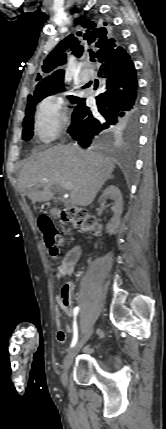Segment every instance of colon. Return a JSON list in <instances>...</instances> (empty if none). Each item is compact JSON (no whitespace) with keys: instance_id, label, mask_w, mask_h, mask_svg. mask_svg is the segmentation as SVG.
<instances>
[{"instance_id":"obj_1","label":"colon","mask_w":166,"mask_h":429,"mask_svg":"<svg viewBox=\"0 0 166 429\" xmlns=\"http://www.w3.org/2000/svg\"><path fill=\"white\" fill-rule=\"evenodd\" d=\"M64 222L70 223L84 232H96L97 220L87 210L78 207L64 208L60 213ZM40 230L44 236V242L51 256H58L63 243L62 236L55 228L52 220L47 216H41L38 220ZM68 291V285H64Z\"/></svg>"}]
</instances>
